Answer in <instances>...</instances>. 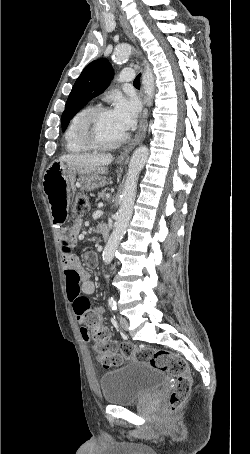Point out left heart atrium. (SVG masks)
Here are the masks:
<instances>
[{"label": "left heart atrium", "mask_w": 250, "mask_h": 454, "mask_svg": "<svg viewBox=\"0 0 250 454\" xmlns=\"http://www.w3.org/2000/svg\"><path fill=\"white\" fill-rule=\"evenodd\" d=\"M111 111L119 128L126 132L134 126L140 111V104L135 97H119L115 100Z\"/></svg>", "instance_id": "39dd6f15"}]
</instances>
